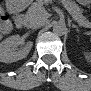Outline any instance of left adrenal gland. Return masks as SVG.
<instances>
[{
	"label": "left adrenal gland",
	"mask_w": 91,
	"mask_h": 91,
	"mask_svg": "<svg viewBox=\"0 0 91 91\" xmlns=\"http://www.w3.org/2000/svg\"><path fill=\"white\" fill-rule=\"evenodd\" d=\"M73 28L76 29V31H79L78 27L76 25H72Z\"/></svg>",
	"instance_id": "obj_1"
}]
</instances>
